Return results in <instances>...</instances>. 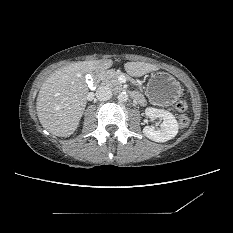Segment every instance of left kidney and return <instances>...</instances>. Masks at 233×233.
Listing matches in <instances>:
<instances>
[{
    "instance_id": "obj_1",
    "label": "left kidney",
    "mask_w": 233,
    "mask_h": 233,
    "mask_svg": "<svg viewBox=\"0 0 233 233\" xmlns=\"http://www.w3.org/2000/svg\"><path fill=\"white\" fill-rule=\"evenodd\" d=\"M145 114L150 118H160L163 121L158 130L150 126L143 128V133L147 138L155 142H166L177 135L178 122L169 111L149 107L145 109Z\"/></svg>"
}]
</instances>
